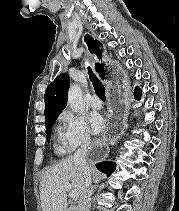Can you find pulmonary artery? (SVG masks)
Listing matches in <instances>:
<instances>
[{
    "label": "pulmonary artery",
    "instance_id": "e3ab8cb5",
    "mask_svg": "<svg viewBox=\"0 0 179 211\" xmlns=\"http://www.w3.org/2000/svg\"><path fill=\"white\" fill-rule=\"evenodd\" d=\"M90 106L94 110H99L102 108V102L97 95H93L90 100Z\"/></svg>",
    "mask_w": 179,
    "mask_h": 211
}]
</instances>
